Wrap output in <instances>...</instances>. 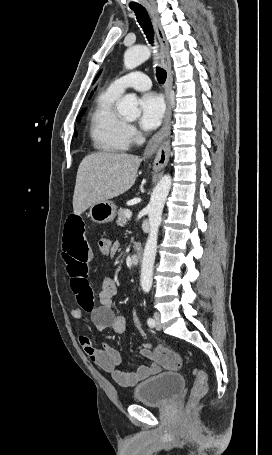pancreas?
<instances>
[{
  "label": "pancreas",
  "mask_w": 272,
  "mask_h": 455,
  "mask_svg": "<svg viewBox=\"0 0 272 455\" xmlns=\"http://www.w3.org/2000/svg\"><path fill=\"white\" fill-rule=\"evenodd\" d=\"M128 209H125V208H121L119 211H118V218H117V225L119 226H124L126 223H127V217L125 215L126 211Z\"/></svg>",
  "instance_id": "cf45deb5"
}]
</instances>
